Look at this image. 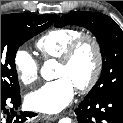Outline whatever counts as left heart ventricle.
I'll list each match as a JSON object with an SVG mask.
<instances>
[{
    "label": "left heart ventricle",
    "instance_id": "b2bd125f",
    "mask_svg": "<svg viewBox=\"0 0 123 123\" xmlns=\"http://www.w3.org/2000/svg\"><path fill=\"white\" fill-rule=\"evenodd\" d=\"M95 54L90 44H85L79 50L69 65L58 64L55 77H67L76 87L85 83L93 72Z\"/></svg>",
    "mask_w": 123,
    "mask_h": 123
}]
</instances>
